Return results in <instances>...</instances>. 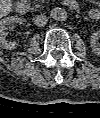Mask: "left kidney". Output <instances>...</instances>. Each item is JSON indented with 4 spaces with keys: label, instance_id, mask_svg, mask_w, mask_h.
Returning <instances> with one entry per match:
<instances>
[{
    "label": "left kidney",
    "instance_id": "1",
    "mask_svg": "<svg viewBox=\"0 0 100 118\" xmlns=\"http://www.w3.org/2000/svg\"><path fill=\"white\" fill-rule=\"evenodd\" d=\"M99 37V33H93L90 39L91 47L95 52L99 51Z\"/></svg>",
    "mask_w": 100,
    "mask_h": 118
}]
</instances>
